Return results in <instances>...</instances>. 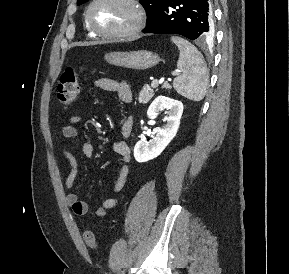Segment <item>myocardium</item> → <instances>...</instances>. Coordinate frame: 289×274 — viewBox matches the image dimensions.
Instances as JSON below:
<instances>
[{"label":"myocardium","instance_id":"myocardium-1","mask_svg":"<svg viewBox=\"0 0 289 274\" xmlns=\"http://www.w3.org/2000/svg\"><path fill=\"white\" fill-rule=\"evenodd\" d=\"M102 0H92L89 5L87 6L86 13H85V22L88 27V29L95 35L103 38H108V39H124L128 37H132L138 32L142 30L145 24L146 20V14L144 7L140 3L139 0H121L122 2L128 4L134 13V18L133 22L131 25L126 27L125 29L119 30V31H112V32H107V31H102L97 29L92 21H91V10L96 5Z\"/></svg>","mask_w":289,"mask_h":274}]
</instances>
